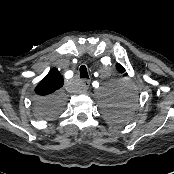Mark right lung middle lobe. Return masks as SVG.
Returning <instances> with one entry per match:
<instances>
[{
  "label": "right lung middle lobe",
  "mask_w": 174,
  "mask_h": 174,
  "mask_svg": "<svg viewBox=\"0 0 174 174\" xmlns=\"http://www.w3.org/2000/svg\"><path fill=\"white\" fill-rule=\"evenodd\" d=\"M62 103V96L58 92L38 97L35 102V115L41 120L53 118L61 112Z\"/></svg>",
  "instance_id": "obj_1"
}]
</instances>
